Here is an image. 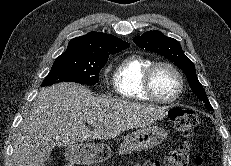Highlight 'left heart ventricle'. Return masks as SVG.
Listing matches in <instances>:
<instances>
[{
	"label": "left heart ventricle",
	"mask_w": 231,
	"mask_h": 166,
	"mask_svg": "<svg viewBox=\"0 0 231 166\" xmlns=\"http://www.w3.org/2000/svg\"><path fill=\"white\" fill-rule=\"evenodd\" d=\"M178 78L167 67H159L153 76V87L161 98L168 99L175 95L178 90Z\"/></svg>",
	"instance_id": "b2bd125f"
}]
</instances>
